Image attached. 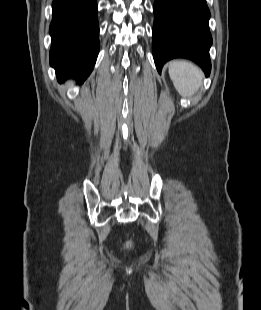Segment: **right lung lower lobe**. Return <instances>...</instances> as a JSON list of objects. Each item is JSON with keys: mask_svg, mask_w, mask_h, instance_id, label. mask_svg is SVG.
<instances>
[{"mask_svg": "<svg viewBox=\"0 0 261 310\" xmlns=\"http://www.w3.org/2000/svg\"><path fill=\"white\" fill-rule=\"evenodd\" d=\"M50 25V65L58 81L83 82L91 73L99 52L96 0H53Z\"/></svg>", "mask_w": 261, "mask_h": 310, "instance_id": "obj_1", "label": "right lung lower lobe"}]
</instances>
